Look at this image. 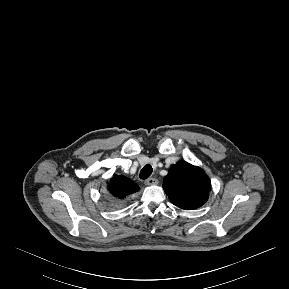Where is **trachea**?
Masks as SVG:
<instances>
[{
	"label": "trachea",
	"mask_w": 289,
	"mask_h": 289,
	"mask_svg": "<svg viewBox=\"0 0 289 289\" xmlns=\"http://www.w3.org/2000/svg\"><path fill=\"white\" fill-rule=\"evenodd\" d=\"M152 166L150 164L145 165L140 171L139 177L141 179H147L152 174Z\"/></svg>",
	"instance_id": "obj_1"
}]
</instances>
